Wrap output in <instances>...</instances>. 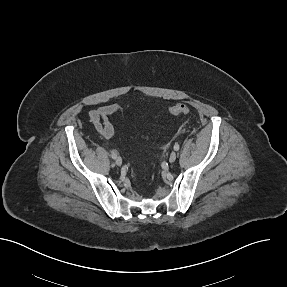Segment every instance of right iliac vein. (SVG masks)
I'll return each mask as SVG.
<instances>
[{"label": "right iliac vein", "instance_id": "obj_1", "mask_svg": "<svg viewBox=\"0 0 287 287\" xmlns=\"http://www.w3.org/2000/svg\"><path fill=\"white\" fill-rule=\"evenodd\" d=\"M115 163H116V165L121 166V165H122V159H121V157H116Z\"/></svg>", "mask_w": 287, "mask_h": 287}]
</instances>
